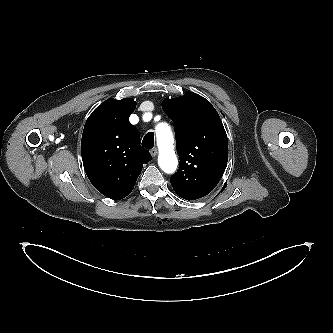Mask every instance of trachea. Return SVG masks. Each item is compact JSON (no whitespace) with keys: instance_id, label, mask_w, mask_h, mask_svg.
Segmentation results:
<instances>
[{"instance_id":"1","label":"trachea","mask_w":333,"mask_h":333,"mask_svg":"<svg viewBox=\"0 0 333 333\" xmlns=\"http://www.w3.org/2000/svg\"><path fill=\"white\" fill-rule=\"evenodd\" d=\"M142 145L147 149L153 148V146H154V133L153 132H148L144 136Z\"/></svg>"}]
</instances>
